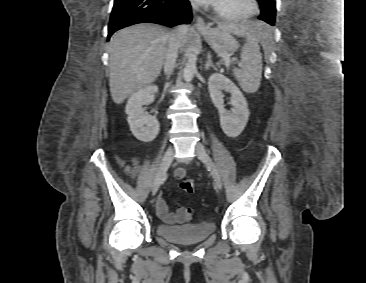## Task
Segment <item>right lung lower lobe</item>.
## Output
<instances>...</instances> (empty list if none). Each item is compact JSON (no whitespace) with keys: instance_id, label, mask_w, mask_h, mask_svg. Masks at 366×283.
I'll use <instances>...</instances> for the list:
<instances>
[{"instance_id":"obj_1","label":"right lung lower lobe","mask_w":366,"mask_h":283,"mask_svg":"<svg viewBox=\"0 0 366 283\" xmlns=\"http://www.w3.org/2000/svg\"><path fill=\"white\" fill-rule=\"evenodd\" d=\"M192 20L188 0H114L108 26V40L117 30L138 23H157L169 27Z\"/></svg>"}]
</instances>
